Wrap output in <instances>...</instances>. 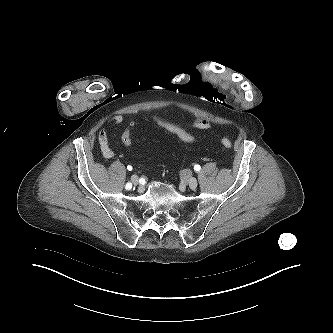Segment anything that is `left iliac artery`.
Masks as SVG:
<instances>
[{
    "label": "left iliac artery",
    "mask_w": 333,
    "mask_h": 333,
    "mask_svg": "<svg viewBox=\"0 0 333 333\" xmlns=\"http://www.w3.org/2000/svg\"><path fill=\"white\" fill-rule=\"evenodd\" d=\"M200 169H201L200 165L196 164V165L194 166V170H195L196 172L200 171Z\"/></svg>",
    "instance_id": "obj_1"
}]
</instances>
